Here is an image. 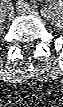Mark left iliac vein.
<instances>
[{
    "label": "left iliac vein",
    "instance_id": "4c4485c4",
    "mask_svg": "<svg viewBox=\"0 0 63 107\" xmlns=\"http://www.w3.org/2000/svg\"><path fill=\"white\" fill-rule=\"evenodd\" d=\"M17 12L23 15L38 16L37 10L30 7L28 4L17 5Z\"/></svg>",
    "mask_w": 63,
    "mask_h": 107
}]
</instances>
